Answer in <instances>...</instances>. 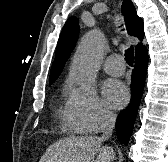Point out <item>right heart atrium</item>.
<instances>
[{
	"label": "right heart atrium",
	"instance_id": "d8ad5b80",
	"mask_svg": "<svg viewBox=\"0 0 168 162\" xmlns=\"http://www.w3.org/2000/svg\"><path fill=\"white\" fill-rule=\"evenodd\" d=\"M64 115L69 126L83 133H97L114 119L93 88H72Z\"/></svg>",
	"mask_w": 168,
	"mask_h": 162
}]
</instances>
